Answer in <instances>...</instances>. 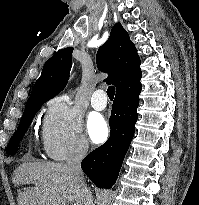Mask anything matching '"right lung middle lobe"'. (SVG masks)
Masks as SVG:
<instances>
[{"label":"right lung middle lobe","instance_id":"right-lung-middle-lobe-1","mask_svg":"<svg viewBox=\"0 0 199 205\" xmlns=\"http://www.w3.org/2000/svg\"><path fill=\"white\" fill-rule=\"evenodd\" d=\"M46 101H48V99H37L30 101L26 104L19 127L11 137L7 146L6 153L8 155L16 154L20 140L23 138L24 134L28 130V127L31 124L35 114L41 108V105L44 104Z\"/></svg>","mask_w":199,"mask_h":205}]
</instances>
